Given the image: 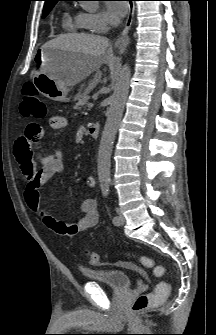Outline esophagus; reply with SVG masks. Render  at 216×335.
<instances>
[{"mask_svg":"<svg viewBox=\"0 0 216 335\" xmlns=\"http://www.w3.org/2000/svg\"><path fill=\"white\" fill-rule=\"evenodd\" d=\"M135 13V6L134 4L130 5L129 14L126 19L125 27L121 33V35L117 38L115 42V46L118 47L120 50H125L130 42V38L128 36V32L131 28L133 18Z\"/></svg>","mask_w":216,"mask_h":335,"instance_id":"obj_1","label":"esophagus"}]
</instances>
